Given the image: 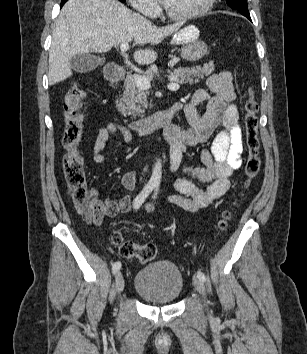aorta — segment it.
Instances as JSON below:
<instances>
[{"mask_svg": "<svg viewBox=\"0 0 307 354\" xmlns=\"http://www.w3.org/2000/svg\"><path fill=\"white\" fill-rule=\"evenodd\" d=\"M161 177H162V164H161V160L158 159L153 167L150 183L159 186L161 182Z\"/></svg>", "mask_w": 307, "mask_h": 354, "instance_id": "aorta-1", "label": "aorta"}]
</instances>
